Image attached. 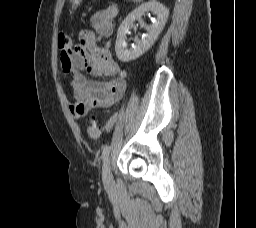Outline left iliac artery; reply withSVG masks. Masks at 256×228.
I'll use <instances>...</instances> for the list:
<instances>
[{"label": "left iliac artery", "instance_id": "1", "mask_svg": "<svg viewBox=\"0 0 256 228\" xmlns=\"http://www.w3.org/2000/svg\"><path fill=\"white\" fill-rule=\"evenodd\" d=\"M110 149H111V147L109 145L104 146L103 151H102L103 160H105L108 157V155L110 153Z\"/></svg>", "mask_w": 256, "mask_h": 228}]
</instances>
